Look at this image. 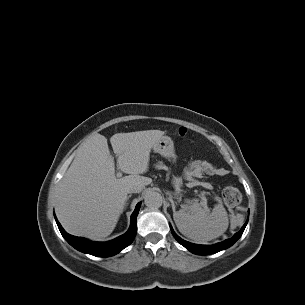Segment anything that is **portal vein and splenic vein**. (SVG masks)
<instances>
[{
    "instance_id": "obj_1",
    "label": "portal vein and splenic vein",
    "mask_w": 305,
    "mask_h": 305,
    "mask_svg": "<svg viewBox=\"0 0 305 305\" xmlns=\"http://www.w3.org/2000/svg\"><path fill=\"white\" fill-rule=\"evenodd\" d=\"M117 177H122V173L121 172H118L116 174ZM200 206L204 207V209L208 210V207H207V199L205 197H201V201H200Z\"/></svg>"
}]
</instances>
